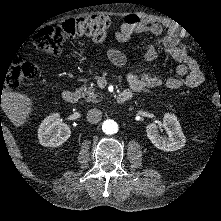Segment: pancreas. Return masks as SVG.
Here are the masks:
<instances>
[{"mask_svg":"<svg viewBox=\"0 0 221 221\" xmlns=\"http://www.w3.org/2000/svg\"><path fill=\"white\" fill-rule=\"evenodd\" d=\"M79 92L85 96L86 102L98 103L100 100L98 99V95L95 93L94 84L89 87L82 86L78 89Z\"/></svg>","mask_w":221,"mask_h":221,"instance_id":"1","label":"pancreas"}]
</instances>
